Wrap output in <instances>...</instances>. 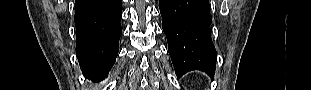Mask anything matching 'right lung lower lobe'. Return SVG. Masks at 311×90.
<instances>
[{
    "label": "right lung lower lobe",
    "mask_w": 311,
    "mask_h": 90,
    "mask_svg": "<svg viewBox=\"0 0 311 90\" xmlns=\"http://www.w3.org/2000/svg\"><path fill=\"white\" fill-rule=\"evenodd\" d=\"M122 0H75L76 54L83 75L101 80L113 64L121 36Z\"/></svg>",
    "instance_id": "98d812e1"
}]
</instances>
